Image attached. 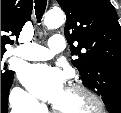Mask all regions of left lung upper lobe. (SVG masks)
Wrapping results in <instances>:
<instances>
[{
    "instance_id": "obj_1",
    "label": "left lung upper lobe",
    "mask_w": 121,
    "mask_h": 113,
    "mask_svg": "<svg viewBox=\"0 0 121 113\" xmlns=\"http://www.w3.org/2000/svg\"><path fill=\"white\" fill-rule=\"evenodd\" d=\"M65 11V36L83 84L110 113H121V26L109 0H57Z\"/></svg>"
}]
</instances>
